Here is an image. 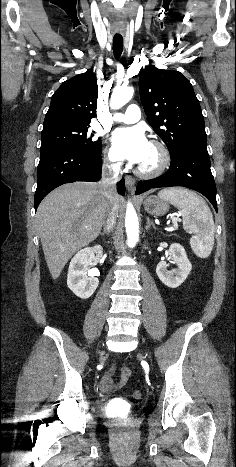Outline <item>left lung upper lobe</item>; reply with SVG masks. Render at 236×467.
Instances as JSON below:
<instances>
[{"mask_svg":"<svg viewBox=\"0 0 236 467\" xmlns=\"http://www.w3.org/2000/svg\"><path fill=\"white\" fill-rule=\"evenodd\" d=\"M139 88L147 121L171 156L187 142L206 140L199 101L182 73L149 65L140 73Z\"/></svg>","mask_w":236,"mask_h":467,"instance_id":"1","label":"left lung upper lobe"}]
</instances>
